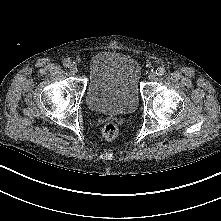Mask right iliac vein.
I'll use <instances>...</instances> for the list:
<instances>
[{"label":"right iliac vein","mask_w":221,"mask_h":221,"mask_svg":"<svg viewBox=\"0 0 221 221\" xmlns=\"http://www.w3.org/2000/svg\"><path fill=\"white\" fill-rule=\"evenodd\" d=\"M70 72L73 73V74L77 73V72H78L77 66L71 65V67H70Z\"/></svg>","instance_id":"63e3f726"}]
</instances>
